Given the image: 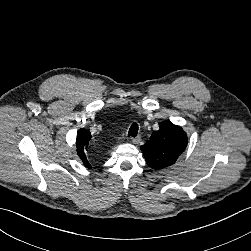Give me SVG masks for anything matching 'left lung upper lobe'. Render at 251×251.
I'll use <instances>...</instances> for the list:
<instances>
[{
    "label": "left lung upper lobe",
    "instance_id": "left-lung-upper-lobe-1",
    "mask_svg": "<svg viewBox=\"0 0 251 251\" xmlns=\"http://www.w3.org/2000/svg\"><path fill=\"white\" fill-rule=\"evenodd\" d=\"M187 143V135L180 126L164 121L159 130L154 131L145 145L141 146V151L150 167L162 169L176 162Z\"/></svg>",
    "mask_w": 251,
    "mask_h": 251
}]
</instances>
